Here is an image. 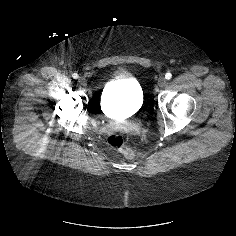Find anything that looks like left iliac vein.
I'll list each match as a JSON object with an SVG mask.
<instances>
[{
  "label": "left iliac vein",
  "instance_id": "1",
  "mask_svg": "<svg viewBox=\"0 0 236 236\" xmlns=\"http://www.w3.org/2000/svg\"><path fill=\"white\" fill-rule=\"evenodd\" d=\"M166 83H167V81L165 78H163V77L159 78V80H158L159 87H164L166 85Z\"/></svg>",
  "mask_w": 236,
  "mask_h": 236
}]
</instances>
